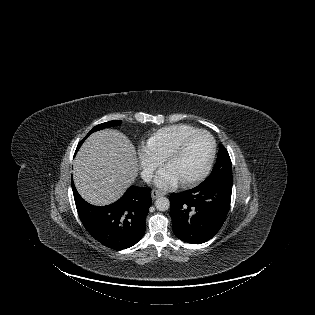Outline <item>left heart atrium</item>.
I'll return each mask as SVG.
<instances>
[{
    "label": "left heart atrium",
    "mask_w": 315,
    "mask_h": 315,
    "mask_svg": "<svg viewBox=\"0 0 315 315\" xmlns=\"http://www.w3.org/2000/svg\"><path fill=\"white\" fill-rule=\"evenodd\" d=\"M179 179L177 176L171 172L169 169L160 171L155 182L158 186L162 188H169L175 186L178 183Z\"/></svg>",
    "instance_id": "1"
}]
</instances>
